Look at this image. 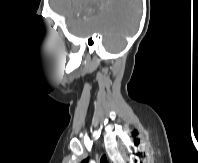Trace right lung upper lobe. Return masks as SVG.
<instances>
[{"mask_svg": "<svg viewBox=\"0 0 198 163\" xmlns=\"http://www.w3.org/2000/svg\"><path fill=\"white\" fill-rule=\"evenodd\" d=\"M88 159L84 160L82 163H87Z\"/></svg>", "mask_w": 198, "mask_h": 163, "instance_id": "obj_1", "label": "right lung upper lobe"}]
</instances>
